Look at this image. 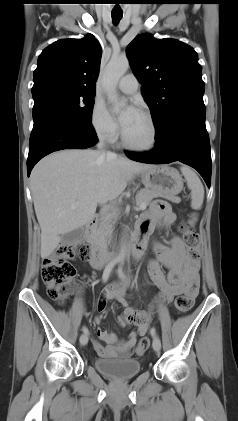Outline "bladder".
<instances>
[{
	"instance_id": "1",
	"label": "bladder",
	"mask_w": 238,
	"mask_h": 421,
	"mask_svg": "<svg viewBox=\"0 0 238 421\" xmlns=\"http://www.w3.org/2000/svg\"><path fill=\"white\" fill-rule=\"evenodd\" d=\"M94 366L100 373L121 381L131 379L141 371L138 360L120 357H99Z\"/></svg>"
}]
</instances>
